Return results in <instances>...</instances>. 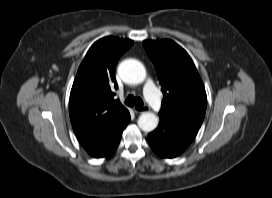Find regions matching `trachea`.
Wrapping results in <instances>:
<instances>
[{"mask_svg":"<svg viewBox=\"0 0 272 198\" xmlns=\"http://www.w3.org/2000/svg\"><path fill=\"white\" fill-rule=\"evenodd\" d=\"M125 104L130 107H141L143 106V100L140 97H134L133 95H129L125 100Z\"/></svg>","mask_w":272,"mask_h":198,"instance_id":"1","label":"trachea"}]
</instances>
